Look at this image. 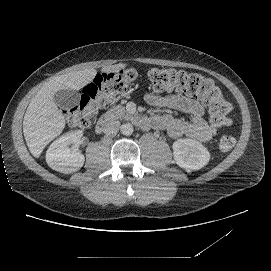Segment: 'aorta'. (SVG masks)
<instances>
[{"mask_svg": "<svg viewBox=\"0 0 271 271\" xmlns=\"http://www.w3.org/2000/svg\"><path fill=\"white\" fill-rule=\"evenodd\" d=\"M120 132L123 135H131L133 133V125L131 123L125 122L120 126Z\"/></svg>", "mask_w": 271, "mask_h": 271, "instance_id": "aorta-1", "label": "aorta"}]
</instances>
